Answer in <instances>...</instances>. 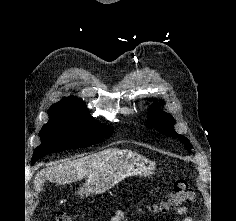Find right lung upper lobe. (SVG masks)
I'll return each instance as SVG.
<instances>
[{
    "label": "right lung upper lobe",
    "mask_w": 236,
    "mask_h": 221,
    "mask_svg": "<svg viewBox=\"0 0 236 221\" xmlns=\"http://www.w3.org/2000/svg\"><path fill=\"white\" fill-rule=\"evenodd\" d=\"M51 107H68V108L88 112L85 103L79 98H75V97L64 98L63 100L57 102Z\"/></svg>",
    "instance_id": "cb5924a9"
}]
</instances>
